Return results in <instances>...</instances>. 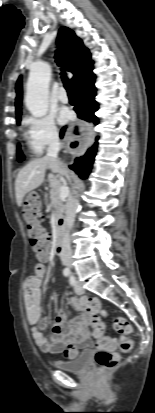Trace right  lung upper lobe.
I'll use <instances>...</instances> for the list:
<instances>
[{
  "label": "right lung upper lobe",
  "mask_w": 155,
  "mask_h": 413,
  "mask_svg": "<svg viewBox=\"0 0 155 413\" xmlns=\"http://www.w3.org/2000/svg\"><path fill=\"white\" fill-rule=\"evenodd\" d=\"M57 42L61 47L65 56V68L74 74L71 79L75 86L84 77L93 74V62L91 55L87 48L84 47L83 42L75 33L67 28L61 27L58 33ZM16 117L21 119V100H22V84L21 77L16 84Z\"/></svg>",
  "instance_id": "obj_1"
}]
</instances>
